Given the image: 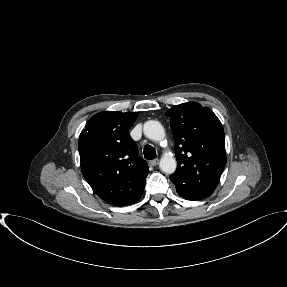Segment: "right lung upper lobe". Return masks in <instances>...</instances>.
I'll return each mask as SVG.
<instances>
[{"instance_id":"1","label":"right lung upper lobe","mask_w":287,"mask_h":287,"mask_svg":"<svg viewBox=\"0 0 287 287\" xmlns=\"http://www.w3.org/2000/svg\"><path fill=\"white\" fill-rule=\"evenodd\" d=\"M137 117V112H100L90 118L78 141L84 178L101 199L115 206L136 203L149 173L128 134Z\"/></svg>"}]
</instances>
